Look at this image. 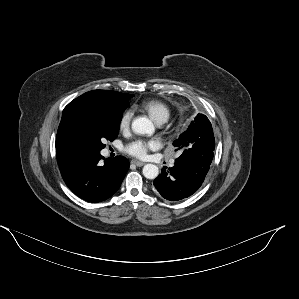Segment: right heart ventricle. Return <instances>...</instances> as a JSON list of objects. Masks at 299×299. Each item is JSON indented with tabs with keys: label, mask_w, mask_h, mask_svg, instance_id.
<instances>
[{
	"label": "right heart ventricle",
	"mask_w": 299,
	"mask_h": 299,
	"mask_svg": "<svg viewBox=\"0 0 299 299\" xmlns=\"http://www.w3.org/2000/svg\"><path fill=\"white\" fill-rule=\"evenodd\" d=\"M139 107L158 124L165 123L171 116L169 105L158 99L145 100Z\"/></svg>",
	"instance_id": "e07e8e85"
}]
</instances>
